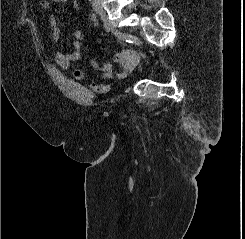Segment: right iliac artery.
<instances>
[{"instance_id": "right-iliac-artery-1", "label": "right iliac artery", "mask_w": 245, "mask_h": 239, "mask_svg": "<svg viewBox=\"0 0 245 239\" xmlns=\"http://www.w3.org/2000/svg\"><path fill=\"white\" fill-rule=\"evenodd\" d=\"M103 27H104V30H105L107 33L110 32V29L108 28V26H107L106 24H104Z\"/></svg>"}]
</instances>
